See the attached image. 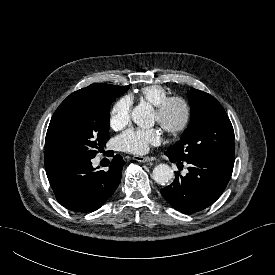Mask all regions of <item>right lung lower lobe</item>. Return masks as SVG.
I'll return each instance as SVG.
<instances>
[{"label": "right lung lower lobe", "mask_w": 275, "mask_h": 275, "mask_svg": "<svg viewBox=\"0 0 275 275\" xmlns=\"http://www.w3.org/2000/svg\"><path fill=\"white\" fill-rule=\"evenodd\" d=\"M92 158L51 156L45 158V170L58 202L79 213L99 209L120 183L122 166L120 155H115L107 172L96 171Z\"/></svg>", "instance_id": "obj_1"}]
</instances>
